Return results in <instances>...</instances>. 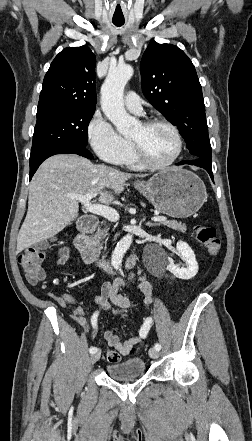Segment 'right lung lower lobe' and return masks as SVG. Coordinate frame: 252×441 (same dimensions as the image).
Masks as SVG:
<instances>
[{
  "mask_svg": "<svg viewBox=\"0 0 252 441\" xmlns=\"http://www.w3.org/2000/svg\"><path fill=\"white\" fill-rule=\"evenodd\" d=\"M56 154H77L89 159H92V154L85 148V146H78V145H62V146H56L50 149H47L40 153L39 155L30 158V179L32 178L33 174L38 169L39 165L48 157L56 155Z\"/></svg>",
  "mask_w": 252,
  "mask_h": 441,
  "instance_id": "right-lung-lower-lobe-1",
  "label": "right lung lower lobe"
}]
</instances>
